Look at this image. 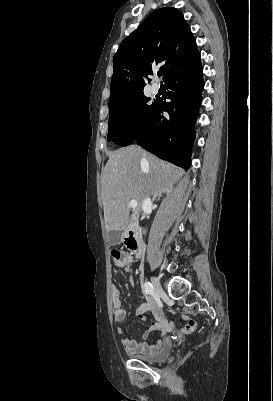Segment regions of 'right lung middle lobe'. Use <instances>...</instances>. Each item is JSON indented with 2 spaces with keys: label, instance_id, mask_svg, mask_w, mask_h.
Here are the masks:
<instances>
[{
  "label": "right lung middle lobe",
  "instance_id": "dd1d6c3e",
  "mask_svg": "<svg viewBox=\"0 0 273 401\" xmlns=\"http://www.w3.org/2000/svg\"><path fill=\"white\" fill-rule=\"evenodd\" d=\"M150 100L140 93L109 107L107 140L122 146L132 144L139 130L150 122L153 115L157 101L148 104Z\"/></svg>",
  "mask_w": 273,
  "mask_h": 401
}]
</instances>
